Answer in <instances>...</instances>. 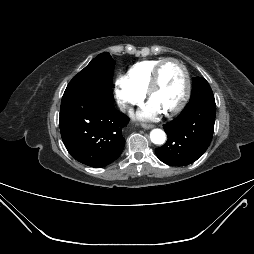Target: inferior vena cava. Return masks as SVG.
<instances>
[{"label": "inferior vena cava", "instance_id": "inferior-vena-cava-1", "mask_svg": "<svg viewBox=\"0 0 254 254\" xmlns=\"http://www.w3.org/2000/svg\"><path fill=\"white\" fill-rule=\"evenodd\" d=\"M118 106H119L121 111H124L125 108H126V104H124V103H118Z\"/></svg>", "mask_w": 254, "mask_h": 254}]
</instances>
